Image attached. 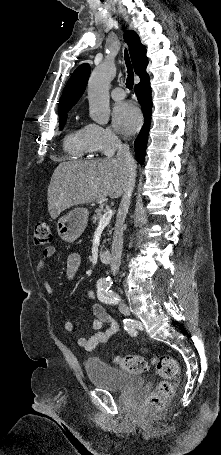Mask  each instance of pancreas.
<instances>
[{
	"label": "pancreas",
	"instance_id": "cf45deb5",
	"mask_svg": "<svg viewBox=\"0 0 221 455\" xmlns=\"http://www.w3.org/2000/svg\"><path fill=\"white\" fill-rule=\"evenodd\" d=\"M103 212H104V210H103L102 208L96 209L95 212H94V214H93V216H92V220H93L94 222L99 223L101 217L103 216ZM108 232H109L108 234H111V233H112V227H111L110 230H108Z\"/></svg>",
	"mask_w": 221,
	"mask_h": 455
}]
</instances>
